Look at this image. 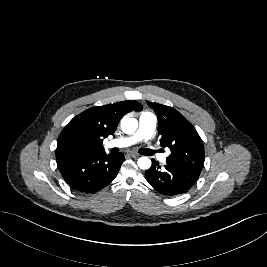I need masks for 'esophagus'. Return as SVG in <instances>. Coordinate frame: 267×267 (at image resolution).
<instances>
[{
	"instance_id": "1",
	"label": "esophagus",
	"mask_w": 267,
	"mask_h": 267,
	"mask_svg": "<svg viewBox=\"0 0 267 267\" xmlns=\"http://www.w3.org/2000/svg\"><path fill=\"white\" fill-rule=\"evenodd\" d=\"M130 155H131L133 158H137V157H139V154L136 153V152H131Z\"/></svg>"
}]
</instances>
